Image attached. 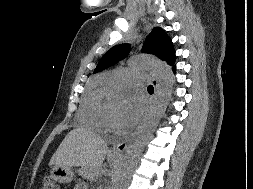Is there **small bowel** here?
<instances>
[{
  "mask_svg": "<svg viewBox=\"0 0 253 189\" xmlns=\"http://www.w3.org/2000/svg\"><path fill=\"white\" fill-rule=\"evenodd\" d=\"M74 189H86V186L84 184H77Z\"/></svg>",
  "mask_w": 253,
  "mask_h": 189,
  "instance_id": "c3829d8e",
  "label": "small bowel"
}]
</instances>
